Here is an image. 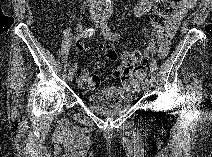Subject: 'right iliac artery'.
<instances>
[{
	"instance_id": "right-iliac-artery-1",
	"label": "right iliac artery",
	"mask_w": 212,
	"mask_h": 157,
	"mask_svg": "<svg viewBox=\"0 0 212 157\" xmlns=\"http://www.w3.org/2000/svg\"><path fill=\"white\" fill-rule=\"evenodd\" d=\"M96 29L94 28H88V29H84L82 31H80L78 38H87V37H91L94 33H95ZM69 72H74V68L70 67L69 68Z\"/></svg>"
}]
</instances>
